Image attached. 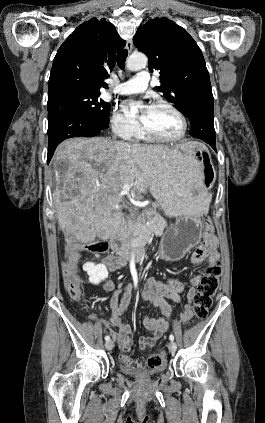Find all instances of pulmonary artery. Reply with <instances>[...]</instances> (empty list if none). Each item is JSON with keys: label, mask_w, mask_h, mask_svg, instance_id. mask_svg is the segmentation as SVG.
I'll return each instance as SVG.
<instances>
[{"label": "pulmonary artery", "mask_w": 265, "mask_h": 423, "mask_svg": "<svg viewBox=\"0 0 265 423\" xmlns=\"http://www.w3.org/2000/svg\"><path fill=\"white\" fill-rule=\"evenodd\" d=\"M149 80L148 71L141 70L134 78L118 84L113 91L121 95L141 93L148 87Z\"/></svg>", "instance_id": "e3ab8cb5"}]
</instances>
